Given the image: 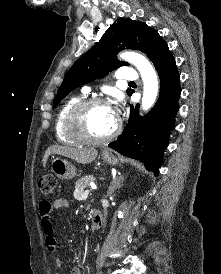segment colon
Listing matches in <instances>:
<instances>
[{"mask_svg": "<svg viewBox=\"0 0 221 274\" xmlns=\"http://www.w3.org/2000/svg\"><path fill=\"white\" fill-rule=\"evenodd\" d=\"M56 187V178L52 174L44 175L39 181V189L45 196H49L53 193Z\"/></svg>", "mask_w": 221, "mask_h": 274, "instance_id": "5ec220e1", "label": "colon"}]
</instances>
